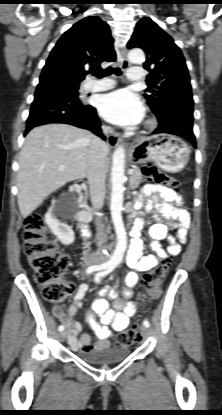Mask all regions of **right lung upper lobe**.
Segmentation results:
<instances>
[{"instance_id":"1","label":"right lung upper lobe","mask_w":222,"mask_h":415,"mask_svg":"<svg viewBox=\"0 0 222 415\" xmlns=\"http://www.w3.org/2000/svg\"><path fill=\"white\" fill-rule=\"evenodd\" d=\"M113 38L107 23L86 17L66 31L48 57L41 76L54 74L72 83L84 80L85 68L100 69L103 61H115Z\"/></svg>"}]
</instances>
